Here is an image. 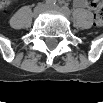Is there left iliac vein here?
I'll use <instances>...</instances> for the list:
<instances>
[{"label":"left iliac vein","instance_id":"left-iliac-vein-1","mask_svg":"<svg viewBox=\"0 0 103 103\" xmlns=\"http://www.w3.org/2000/svg\"><path fill=\"white\" fill-rule=\"evenodd\" d=\"M46 10H53V11H57V12H63V10L57 5L47 6Z\"/></svg>","mask_w":103,"mask_h":103}]
</instances>
